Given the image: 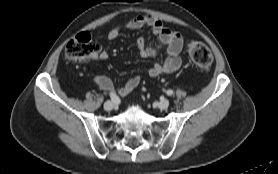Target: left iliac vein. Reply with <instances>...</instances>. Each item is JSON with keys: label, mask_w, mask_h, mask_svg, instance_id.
Wrapping results in <instances>:
<instances>
[{"label": "left iliac vein", "mask_w": 278, "mask_h": 174, "mask_svg": "<svg viewBox=\"0 0 278 174\" xmlns=\"http://www.w3.org/2000/svg\"><path fill=\"white\" fill-rule=\"evenodd\" d=\"M157 106H158L159 109L165 110L169 106V100L163 99L160 102H158Z\"/></svg>", "instance_id": "left-iliac-vein-1"}]
</instances>
